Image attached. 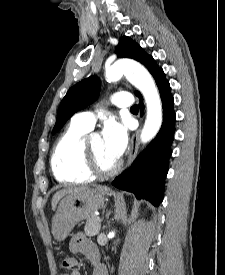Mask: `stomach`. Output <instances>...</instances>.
Returning <instances> with one entry per match:
<instances>
[{"instance_id":"stomach-1","label":"stomach","mask_w":225,"mask_h":275,"mask_svg":"<svg viewBox=\"0 0 225 275\" xmlns=\"http://www.w3.org/2000/svg\"><path fill=\"white\" fill-rule=\"evenodd\" d=\"M106 188L98 187L78 194L65 196L52 219V234L56 240H64L82 220L88 219L103 207Z\"/></svg>"}]
</instances>
